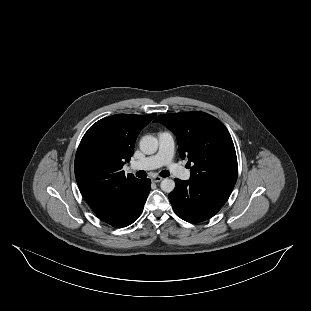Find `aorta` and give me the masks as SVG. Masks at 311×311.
I'll return each instance as SVG.
<instances>
[{"label": "aorta", "mask_w": 311, "mask_h": 311, "mask_svg": "<svg viewBox=\"0 0 311 311\" xmlns=\"http://www.w3.org/2000/svg\"><path fill=\"white\" fill-rule=\"evenodd\" d=\"M158 145L157 138L151 135L143 136L139 143L140 150L146 155L154 154L158 150ZM160 187L162 191L170 193L175 188V182L172 179L165 178L161 181Z\"/></svg>", "instance_id": "aorta-1"}]
</instances>
